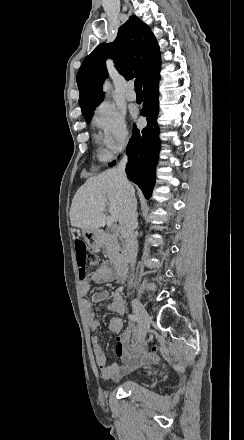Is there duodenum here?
Wrapping results in <instances>:
<instances>
[{"label":"duodenum","mask_w":244,"mask_h":440,"mask_svg":"<svg viewBox=\"0 0 244 440\" xmlns=\"http://www.w3.org/2000/svg\"><path fill=\"white\" fill-rule=\"evenodd\" d=\"M101 238V232L97 231L93 236V242L97 245ZM131 264V258L129 255H121L115 264V269L118 273L125 274Z\"/></svg>","instance_id":"1"}]
</instances>
